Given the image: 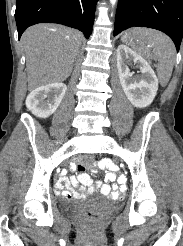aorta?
<instances>
[{
  "mask_svg": "<svg viewBox=\"0 0 183 246\" xmlns=\"http://www.w3.org/2000/svg\"><path fill=\"white\" fill-rule=\"evenodd\" d=\"M117 0H110V3L112 6H114L116 4Z\"/></svg>",
  "mask_w": 183,
  "mask_h": 246,
  "instance_id": "762f6f07",
  "label": "aorta"
}]
</instances>
